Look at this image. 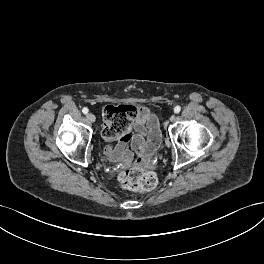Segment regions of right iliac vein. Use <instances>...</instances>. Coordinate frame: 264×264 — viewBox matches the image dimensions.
Listing matches in <instances>:
<instances>
[{
  "instance_id": "right-iliac-vein-1",
  "label": "right iliac vein",
  "mask_w": 264,
  "mask_h": 264,
  "mask_svg": "<svg viewBox=\"0 0 264 264\" xmlns=\"http://www.w3.org/2000/svg\"><path fill=\"white\" fill-rule=\"evenodd\" d=\"M86 118H87V120H88L89 122H91V123L95 122V120H96L95 115L92 114V113H88V114L86 115Z\"/></svg>"
}]
</instances>
